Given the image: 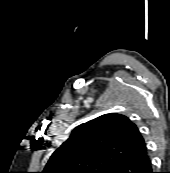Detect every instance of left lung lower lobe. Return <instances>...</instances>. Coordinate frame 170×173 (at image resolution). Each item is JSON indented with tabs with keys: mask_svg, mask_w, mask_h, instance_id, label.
Instances as JSON below:
<instances>
[{
	"mask_svg": "<svg viewBox=\"0 0 170 173\" xmlns=\"http://www.w3.org/2000/svg\"><path fill=\"white\" fill-rule=\"evenodd\" d=\"M114 173H153L147 150L141 155L128 159Z\"/></svg>",
	"mask_w": 170,
	"mask_h": 173,
	"instance_id": "0a47b994",
	"label": "left lung lower lobe"
}]
</instances>
